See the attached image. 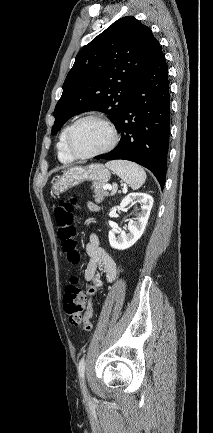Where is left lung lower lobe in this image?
Masks as SVG:
<instances>
[{"mask_svg": "<svg viewBox=\"0 0 213 433\" xmlns=\"http://www.w3.org/2000/svg\"><path fill=\"white\" fill-rule=\"evenodd\" d=\"M116 129L122 133L118 145L95 159L136 162L148 168L163 189L170 133V93L162 48L133 90Z\"/></svg>", "mask_w": 213, "mask_h": 433, "instance_id": "obj_1", "label": "left lung lower lobe"}]
</instances>
